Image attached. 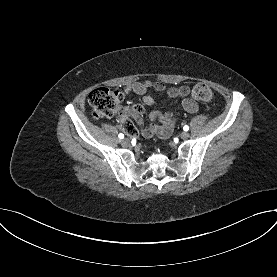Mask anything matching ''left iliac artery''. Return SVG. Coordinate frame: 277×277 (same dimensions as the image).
<instances>
[{
	"mask_svg": "<svg viewBox=\"0 0 277 277\" xmlns=\"http://www.w3.org/2000/svg\"><path fill=\"white\" fill-rule=\"evenodd\" d=\"M183 130H184V131H188V130H189V126L185 125V126L183 127Z\"/></svg>",
	"mask_w": 277,
	"mask_h": 277,
	"instance_id": "left-iliac-artery-1",
	"label": "left iliac artery"
}]
</instances>
